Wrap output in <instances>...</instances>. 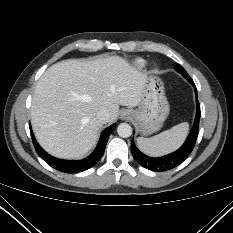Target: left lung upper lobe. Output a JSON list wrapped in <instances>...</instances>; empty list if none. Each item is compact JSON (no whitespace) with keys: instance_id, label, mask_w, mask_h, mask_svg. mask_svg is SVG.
<instances>
[{"instance_id":"1","label":"left lung upper lobe","mask_w":233,"mask_h":233,"mask_svg":"<svg viewBox=\"0 0 233 233\" xmlns=\"http://www.w3.org/2000/svg\"><path fill=\"white\" fill-rule=\"evenodd\" d=\"M175 70L179 72L180 74H182L187 80L190 78L188 73L185 71V69L181 65L177 64L175 66Z\"/></svg>"}]
</instances>
